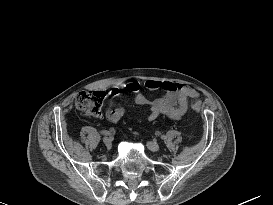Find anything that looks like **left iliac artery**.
<instances>
[{"instance_id": "1", "label": "left iliac artery", "mask_w": 273, "mask_h": 205, "mask_svg": "<svg viewBox=\"0 0 273 205\" xmlns=\"http://www.w3.org/2000/svg\"><path fill=\"white\" fill-rule=\"evenodd\" d=\"M161 139H165V136H164V135H162V136H161Z\"/></svg>"}]
</instances>
